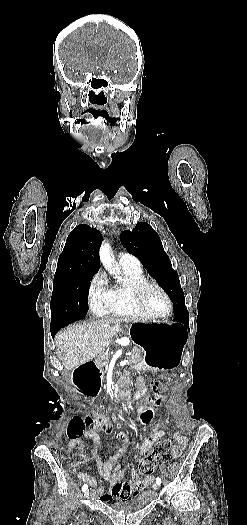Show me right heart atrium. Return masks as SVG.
<instances>
[{
	"label": "right heart atrium",
	"instance_id": "right-heart-atrium-1",
	"mask_svg": "<svg viewBox=\"0 0 247 525\" xmlns=\"http://www.w3.org/2000/svg\"><path fill=\"white\" fill-rule=\"evenodd\" d=\"M107 279L102 271H97L87 285V303L90 311L101 316L113 299V291L107 286Z\"/></svg>",
	"mask_w": 247,
	"mask_h": 525
}]
</instances>
